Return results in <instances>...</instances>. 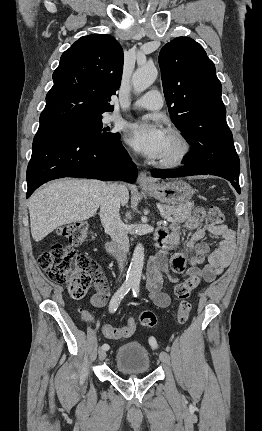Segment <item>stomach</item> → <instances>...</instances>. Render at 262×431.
Segmentation results:
<instances>
[{"label": "stomach", "instance_id": "1", "mask_svg": "<svg viewBox=\"0 0 262 431\" xmlns=\"http://www.w3.org/2000/svg\"><path fill=\"white\" fill-rule=\"evenodd\" d=\"M151 197L171 206H189L194 194L193 188L186 182L176 179L167 183H158L143 187Z\"/></svg>", "mask_w": 262, "mask_h": 431}]
</instances>
